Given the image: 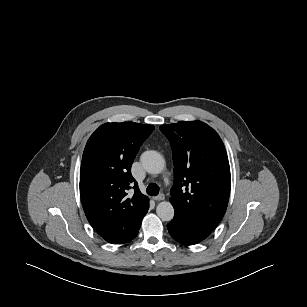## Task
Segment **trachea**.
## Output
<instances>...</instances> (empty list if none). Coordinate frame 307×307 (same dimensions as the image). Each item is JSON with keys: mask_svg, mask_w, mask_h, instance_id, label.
<instances>
[{"mask_svg": "<svg viewBox=\"0 0 307 307\" xmlns=\"http://www.w3.org/2000/svg\"><path fill=\"white\" fill-rule=\"evenodd\" d=\"M147 193L151 196H156L159 193V187L156 184H149L147 187Z\"/></svg>", "mask_w": 307, "mask_h": 307, "instance_id": "1", "label": "trachea"}]
</instances>
